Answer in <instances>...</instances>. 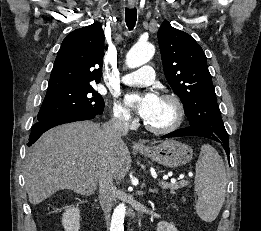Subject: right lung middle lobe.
<instances>
[{
    "label": "right lung middle lobe",
    "mask_w": 261,
    "mask_h": 231,
    "mask_svg": "<svg viewBox=\"0 0 261 231\" xmlns=\"http://www.w3.org/2000/svg\"><path fill=\"white\" fill-rule=\"evenodd\" d=\"M103 110V98L94 90L93 85L54 87L48 88L37 119L40 122L77 112L101 114Z\"/></svg>",
    "instance_id": "obj_1"
}]
</instances>
